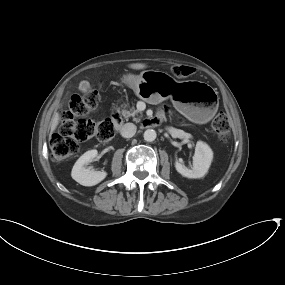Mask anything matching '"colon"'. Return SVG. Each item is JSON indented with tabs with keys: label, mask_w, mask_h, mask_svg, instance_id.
Wrapping results in <instances>:
<instances>
[{
	"label": "colon",
	"mask_w": 285,
	"mask_h": 285,
	"mask_svg": "<svg viewBox=\"0 0 285 285\" xmlns=\"http://www.w3.org/2000/svg\"><path fill=\"white\" fill-rule=\"evenodd\" d=\"M172 74L179 79L192 76L195 69L190 66L175 65ZM98 103V94L89 92L85 97L73 95L69 102V108L61 114V124L57 133L50 141L51 153L56 161H64L78 152L79 143L92 137L102 142H109L115 135L116 126L111 119L99 123L87 119L85 116L90 109ZM212 130L218 140L226 143L230 139V124L228 117L220 113L212 122Z\"/></svg>",
	"instance_id": "colon-1"
}]
</instances>
